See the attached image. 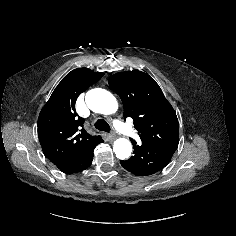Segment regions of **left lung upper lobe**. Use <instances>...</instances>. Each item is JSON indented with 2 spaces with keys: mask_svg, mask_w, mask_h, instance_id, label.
Listing matches in <instances>:
<instances>
[{
  "mask_svg": "<svg viewBox=\"0 0 236 236\" xmlns=\"http://www.w3.org/2000/svg\"><path fill=\"white\" fill-rule=\"evenodd\" d=\"M109 85L122 100L124 118H133L142 143L179 142L176 112L152 77L139 70L119 72Z\"/></svg>",
  "mask_w": 236,
  "mask_h": 236,
  "instance_id": "5c2ea615",
  "label": "left lung upper lobe"
}]
</instances>
